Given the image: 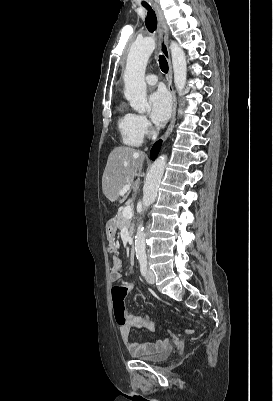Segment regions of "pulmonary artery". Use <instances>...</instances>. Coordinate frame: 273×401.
I'll use <instances>...</instances> for the list:
<instances>
[{"label":"pulmonary artery","mask_w":273,"mask_h":401,"mask_svg":"<svg viewBox=\"0 0 273 401\" xmlns=\"http://www.w3.org/2000/svg\"><path fill=\"white\" fill-rule=\"evenodd\" d=\"M147 82L149 83H157L159 80V77L157 74H149L147 75Z\"/></svg>","instance_id":"obj_1"}]
</instances>
